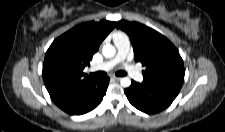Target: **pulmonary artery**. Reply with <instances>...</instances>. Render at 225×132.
Masks as SVG:
<instances>
[{
    "label": "pulmonary artery",
    "mask_w": 225,
    "mask_h": 132,
    "mask_svg": "<svg viewBox=\"0 0 225 132\" xmlns=\"http://www.w3.org/2000/svg\"><path fill=\"white\" fill-rule=\"evenodd\" d=\"M114 42L118 50L116 57L110 61H106V62L92 66L90 68V71H108L127 57L130 51L129 38L127 36H123L118 39H115ZM126 69L135 80L137 81L143 80L142 74L138 70H136L133 66L128 65Z\"/></svg>",
    "instance_id": "obj_1"
}]
</instances>
